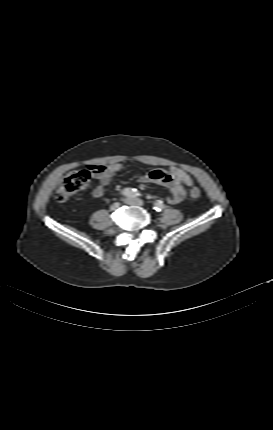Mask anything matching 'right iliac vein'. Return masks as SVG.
<instances>
[{"instance_id":"obj_1","label":"right iliac vein","mask_w":273,"mask_h":430,"mask_svg":"<svg viewBox=\"0 0 273 430\" xmlns=\"http://www.w3.org/2000/svg\"><path fill=\"white\" fill-rule=\"evenodd\" d=\"M120 207V203L116 202L110 206L111 211H115Z\"/></svg>"}]
</instances>
